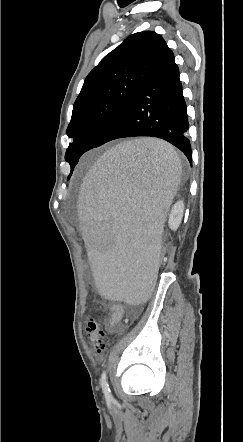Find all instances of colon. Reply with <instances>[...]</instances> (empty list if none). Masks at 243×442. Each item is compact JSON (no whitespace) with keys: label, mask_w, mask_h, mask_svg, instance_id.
<instances>
[{"label":"colon","mask_w":243,"mask_h":442,"mask_svg":"<svg viewBox=\"0 0 243 442\" xmlns=\"http://www.w3.org/2000/svg\"><path fill=\"white\" fill-rule=\"evenodd\" d=\"M161 242L163 248L162 251H160L159 256L160 258L165 259L168 256V246L171 242V239L168 236H164L162 237ZM85 332L94 351L97 354L103 353L106 349V339L101 320L95 317L89 318L86 323Z\"/></svg>","instance_id":"5ec220e1"}]
</instances>
